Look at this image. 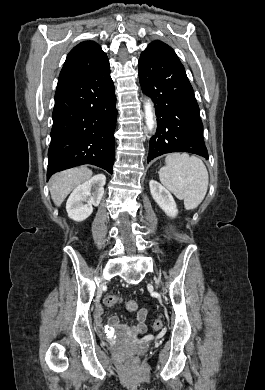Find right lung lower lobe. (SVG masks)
Instances as JSON below:
<instances>
[{
    "instance_id": "right-lung-lower-lobe-1",
    "label": "right lung lower lobe",
    "mask_w": 265,
    "mask_h": 390,
    "mask_svg": "<svg viewBox=\"0 0 265 390\" xmlns=\"http://www.w3.org/2000/svg\"><path fill=\"white\" fill-rule=\"evenodd\" d=\"M109 62L55 93L47 178L71 167L93 164L112 174L117 110Z\"/></svg>"
}]
</instances>
